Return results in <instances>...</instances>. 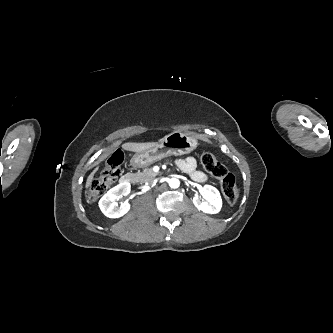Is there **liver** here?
Returning <instances> with one entry per match:
<instances>
[{"mask_svg": "<svg viewBox=\"0 0 333 333\" xmlns=\"http://www.w3.org/2000/svg\"><path fill=\"white\" fill-rule=\"evenodd\" d=\"M156 145H157L156 142H146V143L130 142V143L123 144L122 149L126 150V151H132V152H142V151H145L147 149L153 148ZM97 170H98V167H96L92 171V173L88 176L87 181H86V188H89V186L92 184L94 174L96 173Z\"/></svg>", "mask_w": 333, "mask_h": 333, "instance_id": "obj_1", "label": "liver"}]
</instances>
